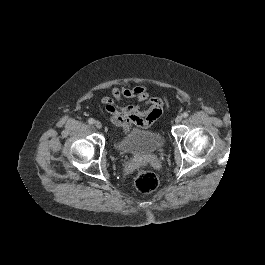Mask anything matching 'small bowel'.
Segmentation results:
<instances>
[{
    "instance_id": "c3829d8e",
    "label": "small bowel",
    "mask_w": 265,
    "mask_h": 265,
    "mask_svg": "<svg viewBox=\"0 0 265 265\" xmlns=\"http://www.w3.org/2000/svg\"><path fill=\"white\" fill-rule=\"evenodd\" d=\"M124 98L134 99L137 103H123ZM164 103L161 98L151 97L148 89L141 85L132 88L113 87L111 96L101 99L110 121L125 131L132 126L150 127L160 117ZM142 104L147 105V109L143 110Z\"/></svg>"
}]
</instances>
